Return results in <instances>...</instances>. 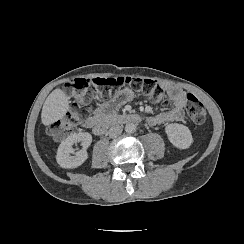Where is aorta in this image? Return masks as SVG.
<instances>
[{"label": "aorta", "instance_id": "1", "mask_svg": "<svg viewBox=\"0 0 244 244\" xmlns=\"http://www.w3.org/2000/svg\"><path fill=\"white\" fill-rule=\"evenodd\" d=\"M136 131V124L129 122L125 125V132L128 134H132Z\"/></svg>", "mask_w": 244, "mask_h": 244}]
</instances>
